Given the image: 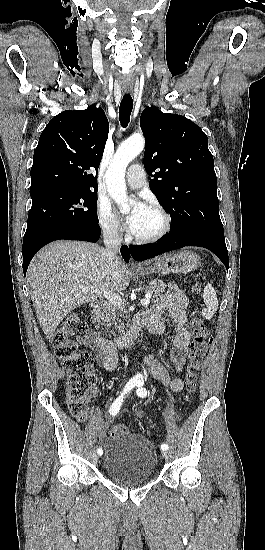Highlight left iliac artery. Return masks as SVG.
<instances>
[{
    "label": "left iliac artery",
    "mask_w": 265,
    "mask_h": 550,
    "mask_svg": "<svg viewBox=\"0 0 265 550\" xmlns=\"http://www.w3.org/2000/svg\"><path fill=\"white\" fill-rule=\"evenodd\" d=\"M143 385H144L143 379H139L138 382H137V384H136V386H137V391H136V393H137V395H138L139 397H141V398H144V397L147 396V390L143 387ZM160 448H161L162 450H167V449H168V445H167V444H162V445L160 446Z\"/></svg>",
    "instance_id": "obj_1"
}]
</instances>
